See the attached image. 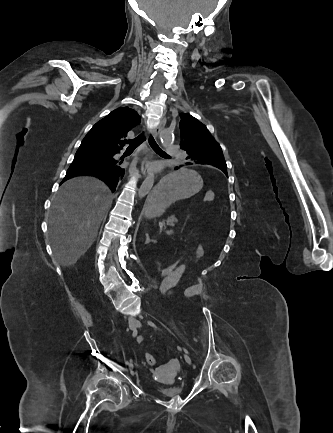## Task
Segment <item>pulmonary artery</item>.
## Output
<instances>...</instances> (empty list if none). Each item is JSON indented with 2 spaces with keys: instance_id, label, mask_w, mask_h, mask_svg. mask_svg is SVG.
Returning <instances> with one entry per match:
<instances>
[{
  "instance_id": "pulmonary-artery-1",
  "label": "pulmonary artery",
  "mask_w": 333,
  "mask_h": 433,
  "mask_svg": "<svg viewBox=\"0 0 333 433\" xmlns=\"http://www.w3.org/2000/svg\"><path fill=\"white\" fill-rule=\"evenodd\" d=\"M165 150L170 155H173L176 152V148L173 145H166Z\"/></svg>"
}]
</instances>
